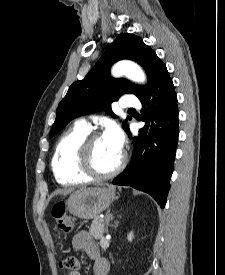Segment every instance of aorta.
<instances>
[{
  "instance_id": "762f6f07",
  "label": "aorta",
  "mask_w": 225,
  "mask_h": 275,
  "mask_svg": "<svg viewBox=\"0 0 225 275\" xmlns=\"http://www.w3.org/2000/svg\"><path fill=\"white\" fill-rule=\"evenodd\" d=\"M114 77L126 76L128 79L137 82L144 83L146 81V75L143 70L135 63L130 61H122L117 63L111 71Z\"/></svg>"
}]
</instances>
